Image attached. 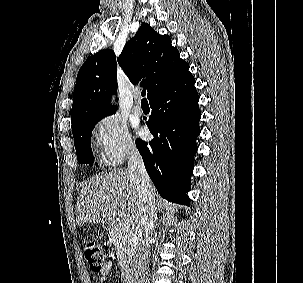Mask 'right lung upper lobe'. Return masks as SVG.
<instances>
[{
	"mask_svg": "<svg viewBox=\"0 0 303 283\" xmlns=\"http://www.w3.org/2000/svg\"><path fill=\"white\" fill-rule=\"evenodd\" d=\"M117 61L133 84L141 81L149 100L190 73L189 65L180 58L170 37L158 34L147 23H142L125 44ZM116 70L112 50H102L84 62L73 94L72 131L83 123L115 113L110 97L116 93Z\"/></svg>",
	"mask_w": 303,
	"mask_h": 283,
	"instance_id": "1",
	"label": "right lung upper lobe"
}]
</instances>
